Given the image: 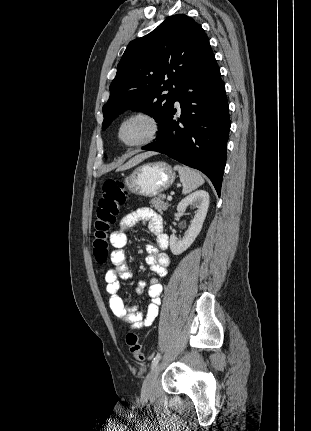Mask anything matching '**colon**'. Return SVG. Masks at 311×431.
I'll list each match as a JSON object with an SVG mask.
<instances>
[{
  "label": "colon",
  "mask_w": 311,
  "mask_h": 431,
  "mask_svg": "<svg viewBox=\"0 0 311 431\" xmlns=\"http://www.w3.org/2000/svg\"><path fill=\"white\" fill-rule=\"evenodd\" d=\"M127 199L125 184L121 179L111 178L104 181L102 194L98 201L93 230V254L95 259L103 263L109 256V236L116 222L120 207ZM126 343L132 357L142 362L144 354L138 335L129 331L126 335Z\"/></svg>",
  "instance_id": "obj_1"
}]
</instances>
